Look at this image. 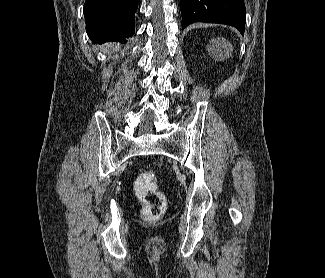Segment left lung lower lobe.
Instances as JSON below:
<instances>
[{
	"instance_id": "0a47b994",
	"label": "left lung lower lobe",
	"mask_w": 325,
	"mask_h": 278,
	"mask_svg": "<svg viewBox=\"0 0 325 278\" xmlns=\"http://www.w3.org/2000/svg\"><path fill=\"white\" fill-rule=\"evenodd\" d=\"M182 30L191 23L234 26L244 35L246 9L243 0H180Z\"/></svg>"
}]
</instances>
